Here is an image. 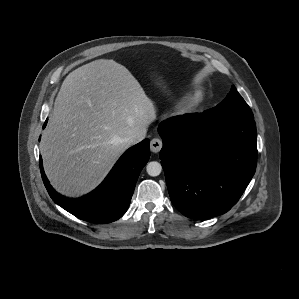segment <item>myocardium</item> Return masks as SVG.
Segmentation results:
<instances>
[{
	"label": "myocardium",
	"mask_w": 299,
	"mask_h": 299,
	"mask_svg": "<svg viewBox=\"0 0 299 299\" xmlns=\"http://www.w3.org/2000/svg\"><path fill=\"white\" fill-rule=\"evenodd\" d=\"M201 98L202 96L200 93H195L190 96L184 103V110L188 111L196 107L201 101Z\"/></svg>",
	"instance_id": "obj_1"
}]
</instances>
